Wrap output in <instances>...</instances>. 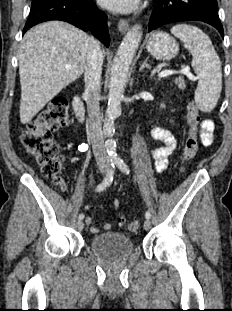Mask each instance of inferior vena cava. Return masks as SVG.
<instances>
[{
    "label": "inferior vena cava",
    "mask_w": 232,
    "mask_h": 311,
    "mask_svg": "<svg viewBox=\"0 0 232 311\" xmlns=\"http://www.w3.org/2000/svg\"><path fill=\"white\" fill-rule=\"evenodd\" d=\"M103 57L100 42L89 37L86 41L85 96L89 116V136L96 162L101 167L109 165L99 105Z\"/></svg>",
    "instance_id": "1"
}]
</instances>
